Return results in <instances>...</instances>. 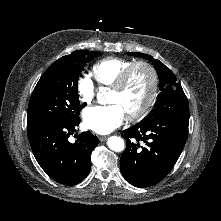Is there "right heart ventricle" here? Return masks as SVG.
I'll return each instance as SVG.
<instances>
[{
    "instance_id": "obj_1",
    "label": "right heart ventricle",
    "mask_w": 221,
    "mask_h": 221,
    "mask_svg": "<svg viewBox=\"0 0 221 221\" xmlns=\"http://www.w3.org/2000/svg\"><path fill=\"white\" fill-rule=\"evenodd\" d=\"M133 61L121 57H107L92 66V75L100 86L112 87L120 74Z\"/></svg>"
}]
</instances>
